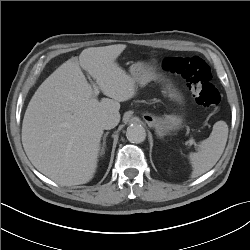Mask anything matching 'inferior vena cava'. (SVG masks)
<instances>
[{
    "label": "inferior vena cava",
    "mask_w": 250,
    "mask_h": 250,
    "mask_svg": "<svg viewBox=\"0 0 250 250\" xmlns=\"http://www.w3.org/2000/svg\"><path fill=\"white\" fill-rule=\"evenodd\" d=\"M119 118L114 116V115H108V116H105L102 120H101V127L105 130H108V129H112L114 128L115 126L118 125L119 123Z\"/></svg>",
    "instance_id": "602c4592"
}]
</instances>
